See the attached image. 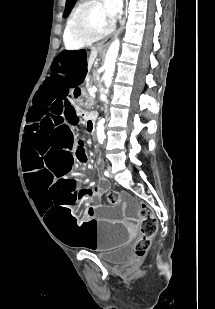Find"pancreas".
Returning <instances> with one entry per match:
<instances>
[{
	"mask_svg": "<svg viewBox=\"0 0 215 309\" xmlns=\"http://www.w3.org/2000/svg\"><path fill=\"white\" fill-rule=\"evenodd\" d=\"M86 88L87 92H90V88H92V80H86ZM87 102L92 106V104H96L95 96H87Z\"/></svg>",
	"mask_w": 215,
	"mask_h": 309,
	"instance_id": "1",
	"label": "pancreas"
}]
</instances>
